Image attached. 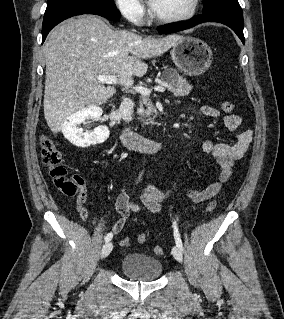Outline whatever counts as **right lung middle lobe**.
<instances>
[{
    "label": "right lung middle lobe",
    "instance_id": "obj_1",
    "mask_svg": "<svg viewBox=\"0 0 284 319\" xmlns=\"http://www.w3.org/2000/svg\"><path fill=\"white\" fill-rule=\"evenodd\" d=\"M75 7H115L113 0H47L44 18Z\"/></svg>",
    "mask_w": 284,
    "mask_h": 319
}]
</instances>
